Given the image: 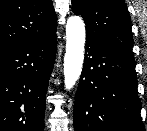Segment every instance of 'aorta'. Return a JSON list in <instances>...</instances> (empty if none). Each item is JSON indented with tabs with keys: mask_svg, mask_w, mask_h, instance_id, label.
I'll return each instance as SVG.
<instances>
[{
	"mask_svg": "<svg viewBox=\"0 0 147 131\" xmlns=\"http://www.w3.org/2000/svg\"><path fill=\"white\" fill-rule=\"evenodd\" d=\"M85 45V25L78 16H72L66 24V53L64 57L65 88L70 90L80 77Z\"/></svg>",
	"mask_w": 147,
	"mask_h": 131,
	"instance_id": "aorta-1",
	"label": "aorta"
}]
</instances>
